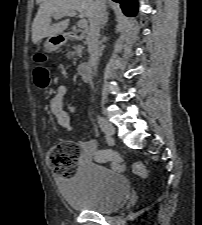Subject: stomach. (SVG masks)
Wrapping results in <instances>:
<instances>
[{"label": "stomach", "instance_id": "stomach-1", "mask_svg": "<svg viewBox=\"0 0 202 225\" xmlns=\"http://www.w3.org/2000/svg\"><path fill=\"white\" fill-rule=\"evenodd\" d=\"M46 47L49 50H52L53 49V46L51 45V43L49 42V40L46 42Z\"/></svg>", "mask_w": 202, "mask_h": 225}]
</instances>
